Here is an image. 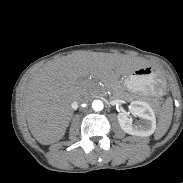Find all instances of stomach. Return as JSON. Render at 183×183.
<instances>
[{
    "mask_svg": "<svg viewBox=\"0 0 183 183\" xmlns=\"http://www.w3.org/2000/svg\"><path fill=\"white\" fill-rule=\"evenodd\" d=\"M161 73L150 67L143 66L126 75L122 86L134 93L149 95L154 91V85L162 84Z\"/></svg>",
    "mask_w": 183,
    "mask_h": 183,
    "instance_id": "1",
    "label": "stomach"
}]
</instances>
